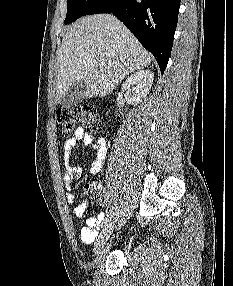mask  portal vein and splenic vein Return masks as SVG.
I'll list each match as a JSON object with an SVG mask.
<instances>
[{
    "mask_svg": "<svg viewBox=\"0 0 233 286\" xmlns=\"http://www.w3.org/2000/svg\"><path fill=\"white\" fill-rule=\"evenodd\" d=\"M104 66H105L104 63H100V64H99V68H100V69H103Z\"/></svg>",
    "mask_w": 233,
    "mask_h": 286,
    "instance_id": "1",
    "label": "portal vein and splenic vein"
}]
</instances>
